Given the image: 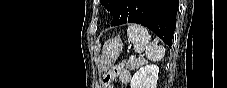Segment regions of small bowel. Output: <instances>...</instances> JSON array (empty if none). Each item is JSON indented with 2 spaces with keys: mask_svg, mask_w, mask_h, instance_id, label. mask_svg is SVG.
Instances as JSON below:
<instances>
[{
  "mask_svg": "<svg viewBox=\"0 0 227 88\" xmlns=\"http://www.w3.org/2000/svg\"><path fill=\"white\" fill-rule=\"evenodd\" d=\"M118 77L121 82L126 83L130 80V72L127 70L122 69L121 67H115L113 68L108 75L103 80V85L106 88L112 87V82L114 79Z\"/></svg>",
  "mask_w": 227,
  "mask_h": 88,
  "instance_id": "1",
  "label": "small bowel"
}]
</instances>
